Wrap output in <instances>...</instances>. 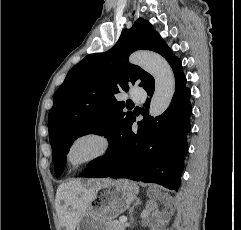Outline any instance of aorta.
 Here are the masks:
<instances>
[{
    "mask_svg": "<svg viewBox=\"0 0 241 230\" xmlns=\"http://www.w3.org/2000/svg\"><path fill=\"white\" fill-rule=\"evenodd\" d=\"M129 61L153 76L155 90L149 114L153 117L163 114L169 107L175 92V78L170 65L162 56L150 52H135L130 56Z\"/></svg>",
    "mask_w": 241,
    "mask_h": 230,
    "instance_id": "obj_1",
    "label": "aorta"
}]
</instances>
